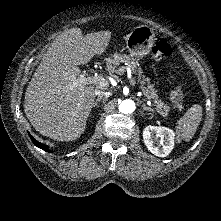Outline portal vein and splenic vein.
<instances>
[{
	"instance_id": "obj_1",
	"label": "portal vein and splenic vein",
	"mask_w": 221,
	"mask_h": 221,
	"mask_svg": "<svg viewBox=\"0 0 221 221\" xmlns=\"http://www.w3.org/2000/svg\"><path fill=\"white\" fill-rule=\"evenodd\" d=\"M125 72V68H121L120 69V74H124ZM130 84L134 85L135 82L133 81V79H129ZM82 84H97L100 88H104L108 86V82L107 80L99 75H92L89 77H83L80 76L79 79L75 82H73L74 86H81Z\"/></svg>"
}]
</instances>
